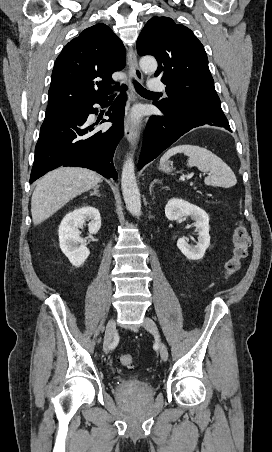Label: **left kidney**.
I'll use <instances>...</instances> for the list:
<instances>
[{"instance_id":"obj_1","label":"left kidney","mask_w":272,"mask_h":452,"mask_svg":"<svg viewBox=\"0 0 272 452\" xmlns=\"http://www.w3.org/2000/svg\"><path fill=\"white\" fill-rule=\"evenodd\" d=\"M165 215L168 220H177L180 217H191L198 233L196 245H189L186 238H179L177 247L190 260H200L210 245L209 216L200 207L183 199H170L165 206Z\"/></svg>"}]
</instances>
